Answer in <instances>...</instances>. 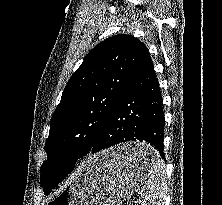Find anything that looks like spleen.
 <instances>
[{
	"label": "spleen",
	"instance_id": "obj_1",
	"mask_svg": "<svg viewBox=\"0 0 222 205\" xmlns=\"http://www.w3.org/2000/svg\"><path fill=\"white\" fill-rule=\"evenodd\" d=\"M141 205H164L166 199L165 164L156 155L150 166L149 175L141 188Z\"/></svg>",
	"mask_w": 222,
	"mask_h": 205
}]
</instances>
